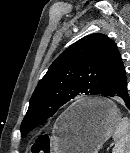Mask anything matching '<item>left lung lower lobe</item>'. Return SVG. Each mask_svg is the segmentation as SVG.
Instances as JSON below:
<instances>
[{"instance_id": "0a47b994", "label": "left lung lower lobe", "mask_w": 130, "mask_h": 153, "mask_svg": "<svg viewBox=\"0 0 130 153\" xmlns=\"http://www.w3.org/2000/svg\"><path fill=\"white\" fill-rule=\"evenodd\" d=\"M100 95L122 99L130 108L126 73L120 54L107 74ZM85 110L86 108H82L77 113H83Z\"/></svg>"}]
</instances>
